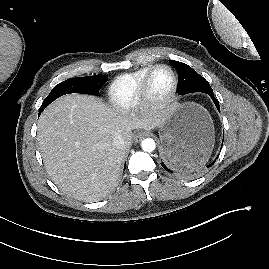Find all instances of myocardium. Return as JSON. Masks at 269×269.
<instances>
[{
	"label": "myocardium",
	"instance_id": "1",
	"mask_svg": "<svg viewBox=\"0 0 269 269\" xmlns=\"http://www.w3.org/2000/svg\"><path fill=\"white\" fill-rule=\"evenodd\" d=\"M167 69L172 77V84L168 92L160 99H154L149 93V84L153 73L159 69ZM178 88V76L175 70L167 64H155L149 68L138 89V103L147 111L158 112L166 109L175 97Z\"/></svg>",
	"mask_w": 269,
	"mask_h": 269
}]
</instances>
